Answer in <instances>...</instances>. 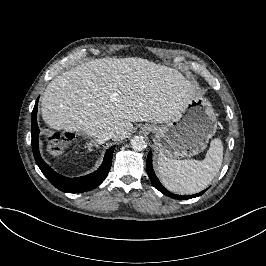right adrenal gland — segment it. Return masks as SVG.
Returning a JSON list of instances; mask_svg holds the SVG:
<instances>
[{
    "label": "right adrenal gland",
    "mask_w": 266,
    "mask_h": 266,
    "mask_svg": "<svg viewBox=\"0 0 266 266\" xmlns=\"http://www.w3.org/2000/svg\"><path fill=\"white\" fill-rule=\"evenodd\" d=\"M87 144V146L89 147L88 149H89V151H92V146L94 145L96 148H99V145L97 144V143H95V142H93V141H91V142H87L86 143Z\"/></svg>",
    "instance_id": "obj_1"
}]
</instances>
